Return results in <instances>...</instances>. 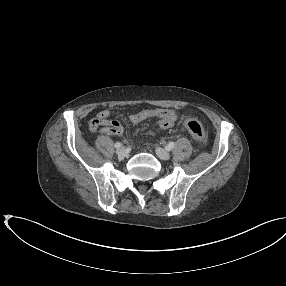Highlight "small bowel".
I'll use <instances>...</instances> for the list:
<instances>
[{"label": "small bowel", "instance_id": "1", "mask_svg": "<svg viewBox=\"0 0 286 286\" xmlns=\"http://www.w3.org/2000/svg\"><path fill=\"white\" fill-rule=\"evenodd\" d=\"M110 111L103 109L93 118L89 123V130L91 132L101 129V132L107 135L120 136L123 134V126L119 121L110 120ZM149 118L157 119V124L161 129H171L177 118L178 111L174 109H150L143 110L134 114H131L129 119L133 124H139Z\"/></svg>", "mask_w": 286, "mask_h": 286}]
</instances>
